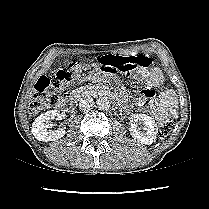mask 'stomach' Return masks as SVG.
<instances>
[{
  "instance_id": "stomach-1",
  "label": "stomach",
  "mask_w": 209,
  "mask_h": 209,
  "mask_svg": "<svg viewBox=\"0 0 209 209\" xmlns=\"http://www.w3.org/2000/svg\"><path fill=\"white\" fill-rule=\"evenodd\" d=\"M74 74L77 78L79 79H84L88 76L89 74V69L86 65L84 64H79L75 67L74 69Z\"/></svg>"
}]
</instances>
